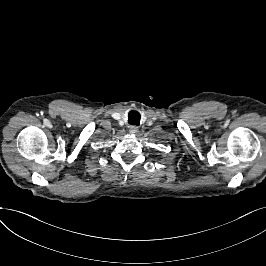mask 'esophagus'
Instances as JSON below:
<instances>
[{"label": "esophagus", "mask_w": 266, "mask_h": 266, "mask_svg": "<svg viewBox=\"0 0 266 266\" xmlns=\"http://www.w3.org/2000/svg\"><path fill=\"white\" fill-rule=\"evenodd\" d=\"M129 132H130L131 134H136V133L138 132V127H136V126H131V127L129 128Z\"/></svg>", "instance_id": "34e87169"}]
</instances>
